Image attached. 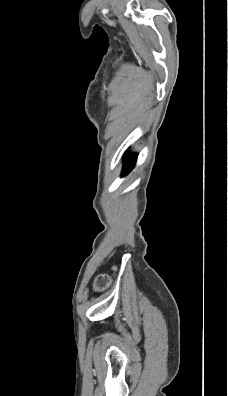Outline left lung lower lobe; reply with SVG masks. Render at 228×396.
I'll return each mask as SVG.
<instances>
[{"instance_id":"0a47b994","label":"left lung lower lobe","mask_w":228,"mask_h":396,"mask_svg":"<svg viewBox=\"0 0 228 396\" xmlns=\"http://www.w3.org/2000/svg\"><path fill=\"white\" fill-rule=\"evenodd\" d=\"M136 158H137L136 154H131V155H129V157H127L125 159L123 171H122V174H121L122 176L128 174L131 171V169L133 168V166H134V164L136 162Z\"/></svg>"}]
</instances>
